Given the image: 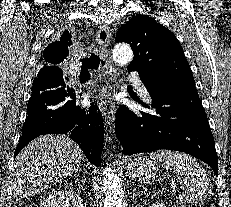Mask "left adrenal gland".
I'll list each match as a JSON object with an SVG mask.
<instances>
[{"mask_svg":"<svg viewBox=\"0 0 231 207\" xmlns=\"http://www.w3.org/2000/svg\"><path fill=\"white\" fill-rule=\"evenodd\" d=\"M138 192H136V189L134 188L133 190V199L135 198V196H137Z\"/></svg>","mask_w":231,"mask_h":207,"instance_id":"1","label":"left adrenal gland"}]
</instances>
